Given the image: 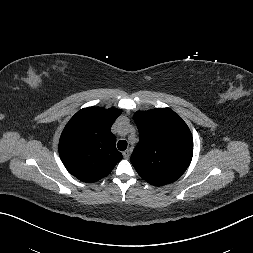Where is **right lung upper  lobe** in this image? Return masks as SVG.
Segmentation results:
<instances>
[{"label": "right lung upper lobe", "instance_id": "obj_1", "mask_svg": "<svg viewBox=\"0 0 253 253\" xmlns=\"http://www.w3.org/2000/svg\"><path fill=\"white\" fill-rule=\"evenodd\" d=\"M121 109L88 107L78 111L65 126L59 154L66 169L83 182L106 177L122 159L111 126Z\"/></svg>", "mask_w": 253, "mask_h": 253}]
</instances>
